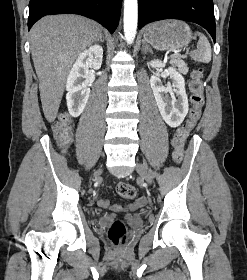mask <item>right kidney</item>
I'll return each mask as SVG.
<instances>
[{"label":"right kidney","instance_id":"1","mask_svg":"<svg viewBox=\"0 0 247 280\" xmlns=\"http://www.w3.org/2000/svg\"><path fill=\"white\" fill-rule=\"evenodd\" d=\"M103 49L99 45H93L88 50L79 54L71 68L66 83L67 107L72 117H78L87 104L89 88V68L99 69L102 64Z\"/></svg>","mask_w":247,"mask_h":280}]
</instances>
